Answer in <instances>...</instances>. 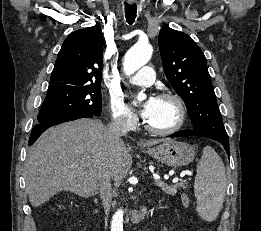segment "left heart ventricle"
Returning <instances> with one entry per match:
<instances>
[{
	"label": "left heart ventricle",
	"mask_w": 261,
	"mask_h": 231,
	"mask_svg": "<svg viewBox=\"0 0 261 231\" xmlns=\"http://www.w3.org/2000/svg\"><path fill=\"white\" fill-rule=\"evenodd\" d=\"M145 120L152 127L168 129L178 120L177 107L172 100L156 98L155 104Z\"/></svg>",
	"instance_id": "1"
}]
</instances>
